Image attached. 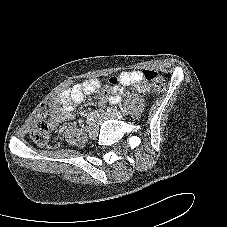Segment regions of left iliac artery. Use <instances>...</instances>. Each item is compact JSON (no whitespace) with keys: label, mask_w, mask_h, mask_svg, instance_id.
<instances>
[{"label":"left iliac artery","mask_w":227,"mask_h":227,"mask_svg":"<svg viewBox=\"0 0 227 227\" xmlns=\"http://www.w3.org/2000/svg\"><path fill=\"white\" fill-rule=\"evenodd\" d=\"M107 112L111 113V114H115V115H120V114H126L127 113V110L126 108H121V111L117 110V109H113V108H109L107 110Z\"/></svg>","instance_id":"left-iliac-artery-1"}]
</instances>
